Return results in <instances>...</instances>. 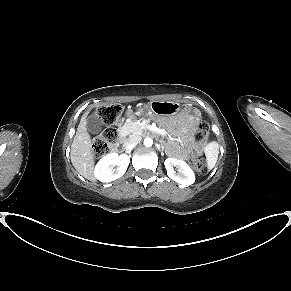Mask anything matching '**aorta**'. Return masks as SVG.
<instances>
[{
  "mask_svg": "<svg viewBox=\"0 0 291 291\" xmlns=\"http://www.w3.org/2000/svg\"><path fill=\"white\" fill-rule=\"evenodd\" d=\"M152 144H153V139H152V138H150V137H146V138L144 139V145H145L146 147H151Z\"/></svg>",
  "mask_w": 291,
  "mask_h": 291,
  "instance_id": "1",
  "label": "aorta"
}]
</instances>
